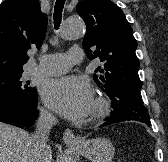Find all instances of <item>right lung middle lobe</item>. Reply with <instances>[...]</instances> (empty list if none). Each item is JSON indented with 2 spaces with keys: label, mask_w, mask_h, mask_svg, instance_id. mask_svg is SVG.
<instances>
[{
  "label": "right lung middle lobe",
  "mask_w": 168,
  "mask_h": 162,
  "mask_svg": "<svg viewBox=\"0 0 168 162\" xmlns=\"http://www.w3.org/2000/svg\"><path fill=\"white\" fill-rule=\"evenodd\" d=\"M21 72L0 75V98H12L29 102L35 98V87H28L29 82H23Z\"/></svg>",
  "instance_id": "1"
}]
</instances>
